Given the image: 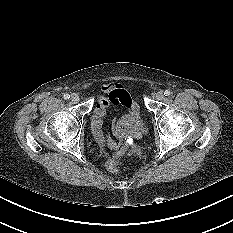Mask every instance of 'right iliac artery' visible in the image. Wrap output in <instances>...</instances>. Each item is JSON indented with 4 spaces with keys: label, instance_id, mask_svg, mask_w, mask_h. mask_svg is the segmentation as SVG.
Here are the masks:
<instances>
[{
    "label": "right iliac artery",
    "instance_id": "1",
    "mask_svg": "<svg viewBox=\"0 0 233 233\" xmlns=\"http://www.w3.org/2000/svg\"><path fill=\"white\" fill-rule=\"evenodd\" d=\"M63 97H64L65 100H68L70 98V95L69 94H64Z\"/></svg>",
    "mask_w": 233,
    "mask_h": 233
}]
</instances>
